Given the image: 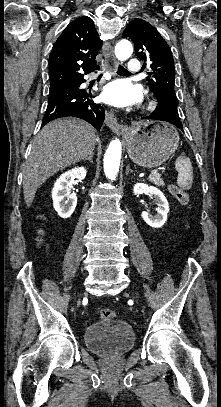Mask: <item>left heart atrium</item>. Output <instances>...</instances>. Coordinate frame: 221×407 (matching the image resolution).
I'll use <instances>...</instances> for the list:
<instances>
[{
  "label": "left heart atrium",
  "mask_w": 221,
  "mask_h": 407,
  "mask_svg": "<svg viewBox=\"0 0 221 407\" xmlns=\"http://www.w3.org/2000/svg\"><path fill=\"white\" fill-rule=\"evenodd\" d=\"M102 99L113 106L128 107L141 102L142 90L128 79H116L105 86Z\"/></svg>",
  "instance_id": "left-heart-atrium-1"
}]
</instances>
